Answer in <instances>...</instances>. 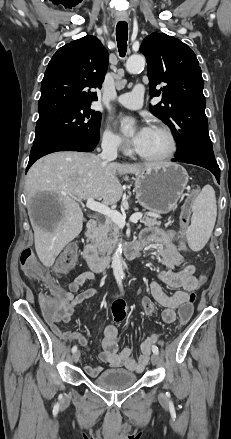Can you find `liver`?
<instances>
[{"instance_id":"liver-1","label":"liver","mask_w":231,"mask_h":439,"mask_svg":"<svg viewBox=\"0 0 231 439\" xmlns=\"http://www.w3.org/2000/svg\"><path fill=\"white\" fill-rule=\"evenodd\" d=\"M163 163L121 164L82 152H56L36 161L26 178L28 202L37 193L53 198L54 211L34 219L35 250L39 260L51 267L63 248L76 238L83 227V212L78 201L89 197L105 205L117 203L123 189L117 175L135 174Z\"/></svg>"}]
</instances>
